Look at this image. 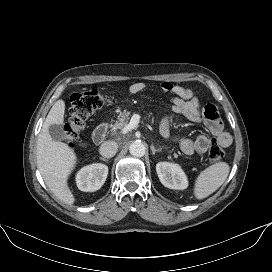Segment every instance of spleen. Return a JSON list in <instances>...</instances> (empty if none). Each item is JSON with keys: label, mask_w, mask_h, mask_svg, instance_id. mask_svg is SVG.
I'll list each match as a JSON object with an SVG mask.
<instances>
[{"label": "spleen", "mask_w": 272, "mask_h": 272, "mask_svg": "<svg viewBox=\"0 0 272 272\" xmlns=\"http://www.w3.org/2000/svg\"><path fill=\"white\" fill-rule=\"evenodd\" d=\"M229 171L226 162L215 163L201 171L195 181V197L201 200L215 192L225 182Z\"/></svg>", "instance_id": "1"}]
</instances>
